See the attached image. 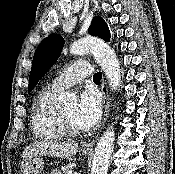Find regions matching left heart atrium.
Masks as SVG:
<instances>
[{
  "mask_svg": "<svg viewBox=\"0 0 175 174\" xmlns=\"http://www.w3.org/2000/svg\"><path fill=\"white\" fill-rule=\"evenodd\" d=\"M101 113V101L98 94L91 89L84 90L80 94L75 110L78 125L83 130L92 128L99 121Z\"/></svg>",
  "mask_w": 175,
  "mask_h": 174,
  "instance_id": "39dd6f15",
  "label": "left heart atrium"
}]
</instances>
